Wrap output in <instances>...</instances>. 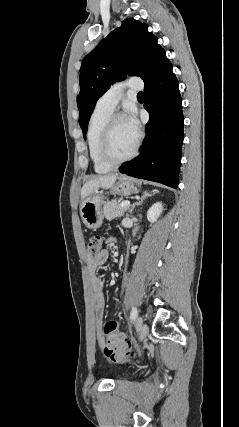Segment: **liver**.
I'll use <instances>...</instances> for the list:
<instances>
[{"label":"liver","instance_id":"6515ba94","mask_svg":"<svg viewBox=\"0 0 239 427\" xmlns=\"http://www.w3.org/2000/svg\"><path fill=\"white\" fill-rule=\"evenodd\" d=\"M117 179V175L109 174L98 176L86 182L81 189V199L85 200L87 197L97 192L100 187L109 189L113 186Z\"/></svg>","mask_w":239,"mask_h":427}]
</instances>
